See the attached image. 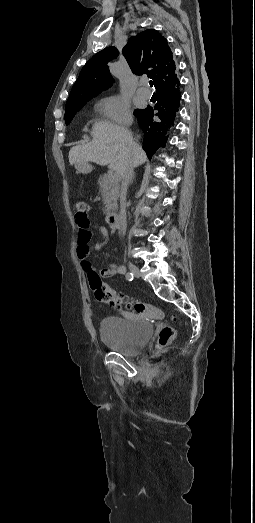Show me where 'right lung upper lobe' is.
<instances>
[{
    "label": "right lung upper lobe",
    "mask_w": 255,
    "mask_h": 523,
    "mask_svg": "<svg viewBox=\"0 0 255 523\" xmlns=\"http://www.w3.org/2000/svg\"><path fill=\"white\" fill-rule=\"evenodd\" d=\"M122 52L132 72L146 73L156 88L157 103L135 111L144 133L143 149L151 158L159 146L165 145L166 134L174 126L180 109V82L176 65L167 40L153 29L131 37ZM117 55L115 47L95 54L82 68L67 103L87 102L110 87L113 79L107 63Z\"/></svg>",
    "instance_id": "cb5924a9"
}]
</instances>
